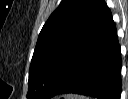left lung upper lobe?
Masks as SVG:
<instances>
[{
	"instance_id": "1",
	"label": "left lung upper lobe",
	"mask_w": 128,
	"mask_h": 99,
	"mask_svg": "<svg viewBox=\"0 0 128 99\" xmlns=\"http://www.w3.org/2000/svg\"><path fill=\"white\" fill-rule=\"evenodd\" d=\"M108 7L104 0H62L43 26L29 69L27 99H47L63 65L85 43Z\"/></svg>"
}]
</instances>
